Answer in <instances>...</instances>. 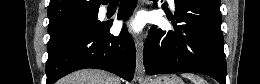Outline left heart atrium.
<instances>
[{
    "mask_svg": "<svg viewBox=\"0 0 260 84\" xmlns=\"http://www.w3.org/2000/svg\"><path fill=\"white\" fill-rule=\"evenodd\" d=\"M124 26H126L131 32L139 34L142 30L143 23L139 18H132L124 22Z\"/></svg>",
    "mask_w": 260,
    "mask_h": 84,
    "instance_id": "1",
    "label": "left heart atrium"
}]
</instances>
